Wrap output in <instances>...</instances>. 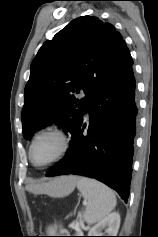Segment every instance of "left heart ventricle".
Returning a JSON list of instances; mask_svg holds the SVG:
<instances>
[{
  "label": "left heart ventricle",
  "instance_id": "b2bd125f",
  "mask_svg": "<svg viewBox=\"0 0 158 237\" xmlns=\"http://www.w3.org/2000/svg\"><path fill=\"white\" fill-rule=\"evenodd\" d=\"M61 149L60 139L52 134L41 136L34 144L32 157L36 164L42 165L54 158Z\"/></svg>",
  "mask_w": 158,
  "mask_h": 237
}]
</instances>
